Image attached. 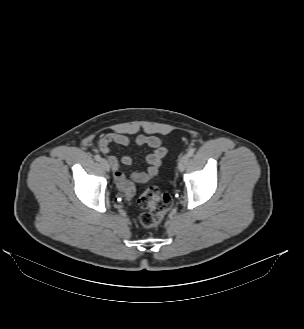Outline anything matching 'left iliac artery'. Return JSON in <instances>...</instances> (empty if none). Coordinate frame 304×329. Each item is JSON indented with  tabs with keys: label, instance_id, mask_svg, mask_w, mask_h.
I'll use <instances>...</instances> for the list:
<instances>
[{
	"label": "left iliac artery",
	"instance_id": "44dca946",
	"mask_svg": "<svg viewBox=\"0 0 304 329\" xmlns=\"http://www.w3.org/2000/svg\"><path fill=\"white\" fill-rule=\"evenodd\" d=\"M193 154H194V149H189V151H188V156H189V157H192Z\"/></svg>",
	"mask_w": 304,
	"mask_h": 329
}]
</instances>
